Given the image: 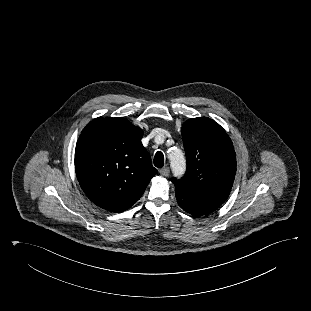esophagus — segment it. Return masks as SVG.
Listing matches in <instances>:
<instances>
[{"label": "esophagus", "mask_w": 311, "mask_h": 311, "mask_svg": "<svg viewBox=\"0 0 311 311\" xmlns=\"http://www.w3.org/2000/svg\"><path fill=\"white\" fill-rule=\"evenodd\" d=\"M159 173L162 176L167 177V176H169L170 170L168 167H164V168L160 169Z\"/></svg>", "instance_id": "34e87169"}]
</instances>
